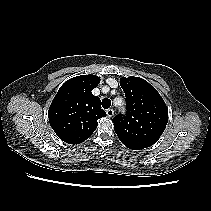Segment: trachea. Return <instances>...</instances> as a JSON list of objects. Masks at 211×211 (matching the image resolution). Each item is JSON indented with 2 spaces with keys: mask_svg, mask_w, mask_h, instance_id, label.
<instances>
[{
  "mask_svg": "<svg viewBox=\"0 0 211 211\" xmlns=\"http://www.w3.org/2000/svg\"><path fill=\"white\" fill-rule=\"evenodd\" d=\"M110 106H111V100L108 99V98H104V99L102 100V107H103L104 109H108V108H110Z\"/></svg>",
  "mask_w": 211,
  "mask_h": 211,
  "instance_id": "1",
  "label": "trachea"
}]
</instances>
